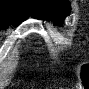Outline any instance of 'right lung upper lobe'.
<instances>
[{
    "mask_svg": "<svg viewBox=\"0 0 89 89\" xmlns=\"http://www.w3.org/2000/svg\"><path fill=\"white\" fill-rule=\"evenodd\" d=\"M30 13L32 15L31 0H0V27L17 26Z\"/></svg>",
    "mask_w": 89,
    "mask_h": 89,
    "instance_id": "obj_1",
    "label": "right lung upper lobe"
}]
</instances>
